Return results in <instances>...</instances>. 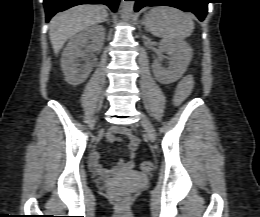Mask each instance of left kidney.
<instances>
[{"instance_id": "left-kidney-1", "label": "left kidney", "mask_w": 260, "mask_h": 217, "mask_svg": "<svg viewBox=\"0 0 260 217\" xmlns=\"http://www.w3.org/2000/svg\"><path fill=\"white\" fill-rule=\"evenodd\" d=\"M159 53H167L169 55V67L163 68L161 66L163 58L160 55L152 65L155 78L162 84L176 82L186 72L191 62V47L181 40L164 39L160 42Z\"/></svg>"}]
</instances>
